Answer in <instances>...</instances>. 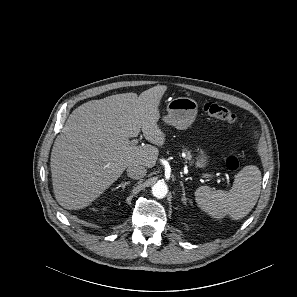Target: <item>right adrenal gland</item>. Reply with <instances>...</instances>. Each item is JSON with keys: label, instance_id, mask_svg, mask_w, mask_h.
<instances>
[{"label": "right adrenal gland", "instance_id": "obj_1", "mask_svg": "<svg viewBox=\"0 0 297 297\" xmlns=\"http://www.w3.org/2000/svg\"><path fill=\"white\" fill-rule=\"evenodd\" d=\"M130 184V181H126V182H121L117 187L113 188V190H116V189H119V188H122V190L125 189V187Z\"/></svg>", "mask_w": 297, "mask_h": 297}]
</instances>
